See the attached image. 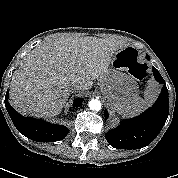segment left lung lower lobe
Segmentation results:
<instances>
[{
    "label": "left lung lower lobe",
    "instance_id": "left-lung-lower-lobe-1",
    "mask_svg": "<svg viewBox=\"0 0 178 178\" xmlns=\"http://www.w3.org/2000/svg\"><path fill=\"white\" fill-rule=\"evenodd\" d=\"M149 59V56H147ZM155 79L164 84L159 71L152 68ZM169 114L168 90L163 85L155 104L138 117L123 120L119 127L109 130L105 138L108 143L119 149H139L149 145L159 134ZM105 118L108 112L105 110Z\"/></svg>",
    "mask_w": 178,
    "mask_h": 178
}]
</instances>
